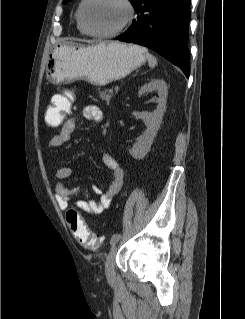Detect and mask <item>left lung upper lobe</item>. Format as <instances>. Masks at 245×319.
I'll list each match as a JSON object with an SVG mask.
<instances>
[{
	"instance_id": "5c2ea615",
	"label": "left lung upper lobe",
	"mask_w": 245,
	"mask_h": 319,
	"mask_svg": "<svg viewBox=\"0 0 245 319\" xmlns=\"http://www.w3.org/2000/svg\"><path fill=\"white\" fill-rule=\"evenodd\" d=\"M69 1H71V0H64L63 4H66V3H68ZM129 1L132 3L133 7H135L136 4H137V2H138V0H129Z\"/></svg>"
}]
</instances>
